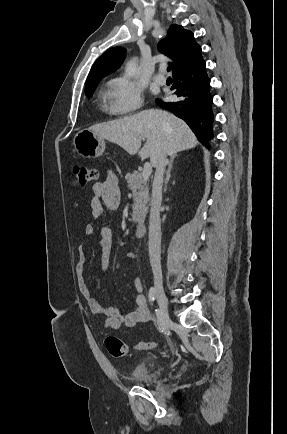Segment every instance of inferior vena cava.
<instances>
[{
    "label": "inferior vena cava",
    "mask_w": 287,
    "mask_h": 434,
    "mask_svg": "<svg viewBox=\"0 0 287 434\" xmlns=\"http://www.w3.org/2000/svg\"><path fill=\"white\" fill-rule=\"evenodd\" d=\"M167 155L165 151L159 155L156 171L152 186L151 209L149 219V257L154 276V281L162 283V271L160 264L161 254V222L160 206L162 201V185L165 167L167 165Z\"/></svg>",
    "instance_id": "1"
}]
</instances>
